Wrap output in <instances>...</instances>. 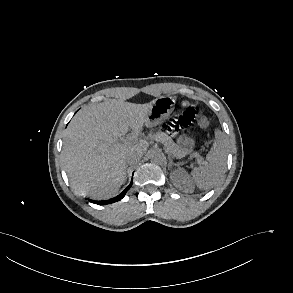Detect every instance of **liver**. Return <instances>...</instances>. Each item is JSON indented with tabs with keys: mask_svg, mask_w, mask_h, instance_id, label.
Segmentation results:
<instances>
[{
	"mask_svg": "<svg viewBox=\"0 0 293 293\" xmlns=\"http://www.w3.org/2000/svg\"><path fill=\"white\" fill-rule=\"evenodd\" d=\"M155 100L134 104L110 99L81 109L68 125L62 158L71 186L79 193L95 197L114 196L125 181L126 154L147 151L142 136L145 119ZM133 141H120L128 129Z\"/></svg>",
	"mask_w": 293,
	"mask_h": 293,
	"instance_id": "6515ba94",
	"label": "liver"
}]
</instances>
